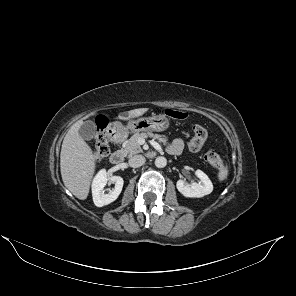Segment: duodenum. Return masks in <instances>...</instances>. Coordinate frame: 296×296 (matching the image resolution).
Returning <instances> with one entry per match:
<instances>
[{"instance_id": "obj_1", "label": "duodenum", "mask_w": 296, "mask_h": 296, "mask_svg": "<svg viewBox=\"0 0 296 296\" xmlns=\"http://www.w3.org/2000/svg\"><path fill=\"white\" fill-rule=\"evenodd\" d=\"M109 137L114 141H120L123 138V132L118 128L112 126L108 129ZM124 153L121 150L114 151L110 156V162L113 165H120L123 162Z\"/></svg>"}]
</instances>
